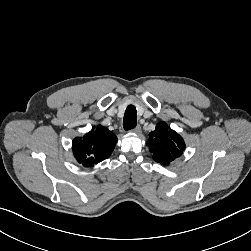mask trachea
<instances>
[{"label": "trachea", "mask_w": 251, "mask_h": 251, "mask_svg": "<svg viewBox=\"0 0 251 251\" xmlns=\"http://www.w3.org/2000/svg\"><path fill=\"white\" fill-rule=\"evenodd\" d=\"M137 125V111L135 106L129 105L125 110L123 127L125 130H131Z\"/></svg>", "instance_id": "trachea-1"}]
</instances>
